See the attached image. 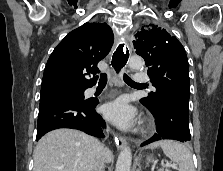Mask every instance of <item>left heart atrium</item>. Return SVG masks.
Listing matches in <instances>:
<instances>
[{
	"label": "left heart atrium",
	"mask_w": 223,
	"mask_h": 171,
	"mask_svg": "<svg viewBox=\"0 0 223 171\" xmlns=\"http://www.w3.org/2000/svg\"><path fill=\"white\" fill-rule=\"evenodd\" d=\"M104 116L120 128H130L136 121V110L120 97L103 106Z\"/></svg>",
	"instance_id": "39dd6f15"
}]
</instances>
